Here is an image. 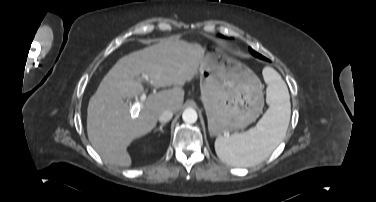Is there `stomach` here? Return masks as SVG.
Wrapping results in <instances>:
<instances>
[{"label":"stomach","mask_w":376,"mask_h":202,"mask_svg":"<svg viewBox=\"0 0 376 202\" xmlns=\"http://www.w3.org/2000/svg\"><path fill=\"white\" fill-rule=\"evenodd\" d=\"M199 73L211 135L244 128L258 117L264 105L262 84L247 66L221 50L209 49Z\"/></svg>","instance_id":"1"}]
</instances>
